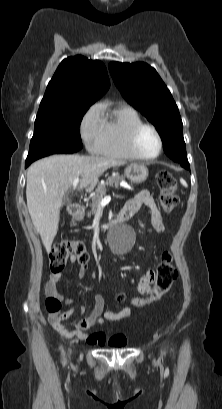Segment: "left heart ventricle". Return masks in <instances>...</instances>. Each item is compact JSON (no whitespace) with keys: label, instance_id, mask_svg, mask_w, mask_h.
<instances>
[{"label":"left heart ventricle","instance_id":"1","mask_svg":"<svg viewBox=\"0 0 222 409\" xmlns=\"http://www.w3.org/2000/svg\"><path fill=\"white\" fill-rule=\"evenodd\" d=\"M140 152L145 156H153L158 152L159 143L155 133L150 129H144L137 140Z\"/></svg>","mask_w":222,"mask_h":409}]
</instances>
